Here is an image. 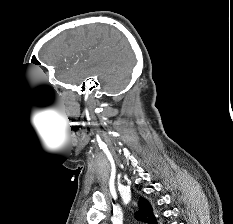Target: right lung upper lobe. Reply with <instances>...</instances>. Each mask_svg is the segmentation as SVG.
I'll use <instances>...</instances> for the list:
<instances>
[{
    "mask_svg": "<svg viewBox=\"0 0 233 224\" xmlns=\"http://www.w3.org/2000/svg\"><path fill=\"white\" fill-rule=\"evenodd\" d=\"M136 218L147 224H157L156 218L153 214V209L149 202L144 198L139 201V211L135 214Z\"/></svg>",
    "mask_w": 233,
    "mask_h": 224,
    "instance_id": "obj_1",
    "label": "right lung upper lobe"
}]
</instances>
